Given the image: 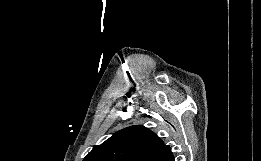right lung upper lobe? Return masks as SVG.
Returning <instances> with one entry per match:
<instances>
[{"label":"right lung upper lobe","mask_w":261,"mask_h":161,"mask_svg":"<svg viewBox=\"0 0 261 161\" xmlns=\"http://www.w3.org/2000/svg\"><path fill=\"white\" fill-rule=\"evenodd\" d=\"M172 156L170 147L156 134L135 125L94 146L83 161H166Z\"/></svg>","instance_id":"obj_1"}]
</instances>
